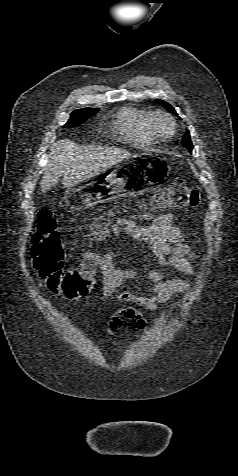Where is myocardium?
<instances>
[{
    "label": "myocardium",
    "mask_w": 238,
    "mask_h": 476,
    "mask_svg": "<svg viewBox=\"0 0 238 476\" xmlns=\"http://www.w3.org/2000/svg\"><path fill=\"white\" fill-rule=\"evenodd\" d=\"M161 120L167 121L171 125L170 133L166 136L161 135L157 127L158 122ZM147 129L155 142H167L175 136L177 125L175 119L170 114L162 110H155L148 115Z\"/></svg>",
    "instance_id": "1"
}]
</instances>
